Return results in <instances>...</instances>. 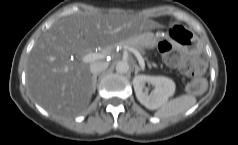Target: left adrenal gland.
<instances>
[{
    "label": "left adrenal gland",
    "instance_id": "left-adrenal-gland-1",
    "mask_svg": "<svg viewBox=\"0 0 238 145\" xmlns=\"http://www.w3.org/2000/svg\"><path fill=\"white\" fill-rule=\"evenodd\" d=\"M135 76H137L139 71H144V68L139 67L137 64H134Z\"/></svg>",
    "mask_w": 238,
    "mask_h": 145
}]
</instances>
